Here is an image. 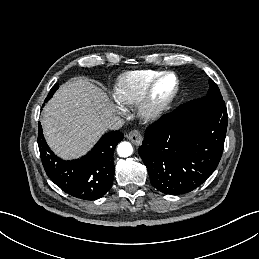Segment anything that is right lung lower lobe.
I'll list each match as a JSON object with an SVG mask.
<instances>
[{"label":"right lung lower lobe","instance_id":"obj_1","mask_svg":"<svg viewBox=\"0 0 259 259\" xmlns=\"http://www.w3.org/2000/svg\"><path fill=\"white\" fill-rule=\"evenodd\" d=\"M123 137L120 131L106 133L87 155L64 161L50 150L39 124L38 146L45 172L67 194L84 200L99 199L112 186L113 153Z\"/></svg>","mask_w":259,"mask_h":259}]
</instances>
